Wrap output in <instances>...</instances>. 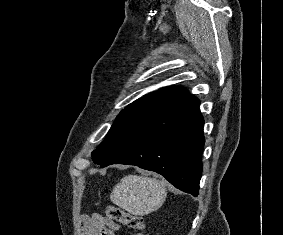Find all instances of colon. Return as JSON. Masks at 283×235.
<instances>
[{"label":"colon","instance_id":"obj_1","mask_svg":"<svg viewBox=\"0 0 283 235\" xmlns=\"http://www.w3.org/2000/svg\"><path fill=\"white\" fill-rule=\"evenodd\" d=\"M106 216L109 220L128 226L135 230V235H144L146 221L143 217L123 210L120 207L109 205L106 208Z\"/></svg>","mask_w":283,"mask_h":235}]
</instances>
